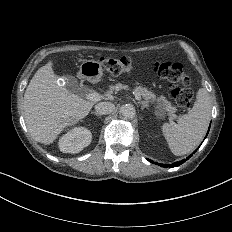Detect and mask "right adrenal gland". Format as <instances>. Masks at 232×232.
I'll return each instance as SVG.
<instances>
[{
    "label": "right adrenal gland",
    "mask_w": 232,
    "mask_h": 232,
    "mask_svg": "<svg viewBox=\"0 0 232 232\" xmlns=\"http://www.w3.org/2000/svg\"><path fill=\"white\" fill-rule=\"evenodd\" d=\"M90 115H95L98 118L102 117V115L100 113H97V112H91Z\"/></svg>",
    "instance_id": "obj_1"
}]
</instances>
